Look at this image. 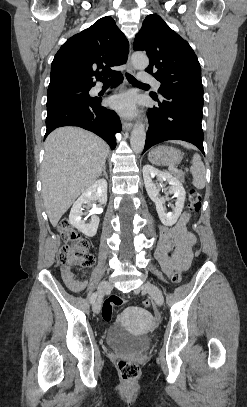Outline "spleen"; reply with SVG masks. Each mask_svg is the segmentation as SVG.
Listing matches in <instances>:
<instances>
[{"label":"spleen","mask_w":247,"mask_h":407,"mask_svg":"<svg viewBox=\"0 0 247 407\" xmlns=\"http://www.w3.org/2000/svg\"><path fill=\"white\" fill-rule=\"evenodd\" d=\"M187 148H190L187 144H182ZM190 172L193 176V186L197 189H203L206 183V172L205 166L201 160L200 155L194 154L192 158V165L190 167Z\"/></svg>","instance_id":"obj_1"}]
</instances>
